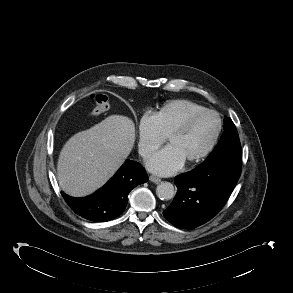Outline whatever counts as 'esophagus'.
Listing matches in <instances>:
<instances>
[{
	"instance_id": "esophagus-1",
	"label": "esophagus",
	"mask_w": 293,
	"mask_h": 293,
	"mask_svg": "<svg viewBox=\"0 0 293 293\" xmlns=\"http://www.w3.org/2000/svg\"><path fill=\"white\" fill-rule=\"evenodd\" d=\"M149 180L151 182H153V183H156V184L161 182V179L159 177H156V176H153V175L149 176Z\"/></svg>"
}]
</instances>
